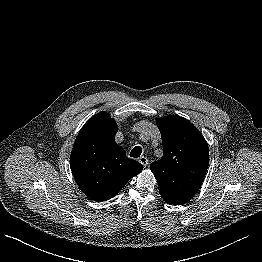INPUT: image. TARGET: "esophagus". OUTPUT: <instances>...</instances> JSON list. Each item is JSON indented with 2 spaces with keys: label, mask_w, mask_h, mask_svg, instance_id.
Here are the masks:
<instances>
[{
  "label": "esophagus",
  "mask_w": 262,
  "mask_h": 262,
  "mask_svg": "<svg viewBox=\"0 0 262 262\" xmlns=\"http://www.w3.org/2000/svg\"><path fill=\"white\" fill-rule=\"evenodd\" d=\"M139 162L144 166V167H146L147 165H148V159H147V157H144V156H142V157H140L139 158Z\"/></svg>",
  "instance_id": "34e87169"
}]
</instances>
